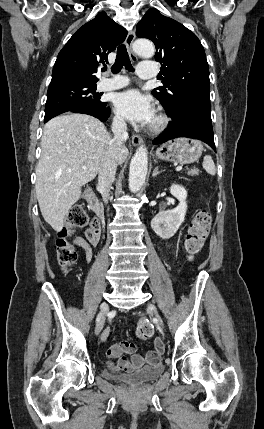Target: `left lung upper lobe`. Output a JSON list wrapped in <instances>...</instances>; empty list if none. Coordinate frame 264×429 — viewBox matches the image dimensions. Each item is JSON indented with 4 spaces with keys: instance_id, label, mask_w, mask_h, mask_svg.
Returning a JSON list of instances; mask_svg holds the SVG:
<instances>
[{
    "instance_id": "5c2ea615",
    "label": "left lung upper lobe",
    "mask_w": 264,
    "mask_h": 429,
    "mask_svg": "<svg viewBox=\"0 0 264 429\" xmlns=\"http://www.w3.org/2000/svg\"><path fill=\"white\" fill-rule=\"evenodd\" d=\"M136 34L152 40L164 86L152 94L165 111H175L183 99L210 101L209 68L197 36L179 22L149 9L137 24Z\"/></svg>"
}]
</instances>
